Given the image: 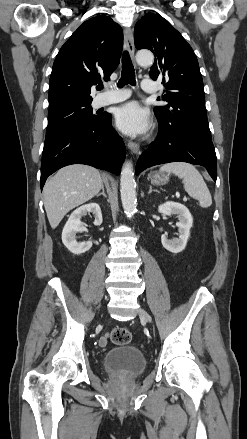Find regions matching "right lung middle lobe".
Wrapping results in <instances>:
<instances>
[{
    "mask_svg": "<svg viewBox=\"0 0 247 439\" xmlns=\"http://www.w3.org/2000/svg\"><path fill=\"white\" fill-rule=\"evenodd\" d=\"M102 115H94L91 101L73 102L48 112V127L46 133L76 123H91Z\"/></svg>",
    "mask_w": 247,
    "mask_h": 439,
    "instance_id": "right-lung-middle-lobe-1",
    "label": "right lung middle lobe"
}]
</instances>
